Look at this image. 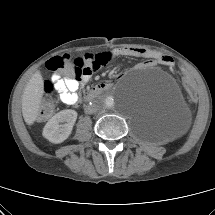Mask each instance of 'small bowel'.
Returning a JSON list of instances; mask_svg holds the SVG:
<instances>
[{"label": "small bowel", "instance_id": "c3829d8e", "mask_svg": "<svg viewBox=\"0 0 215 215\" xmlns=\"http://www.w3.org/2000/svg\"><path fill=\"white\" fill-rule=\"evenodd\" d=\"M118 57L143 58L146 61L142 65L148 66L172 64V59L168 55L139 47H121L96 54L87 53L80 58L82 70L79 78L76 75L71 77L53 76L59 101L69 106L76 105L79 102V90L91 80L94 73Z\"/></svg>", "mask_w": 215, "mask_h": 215}]
</instances>
